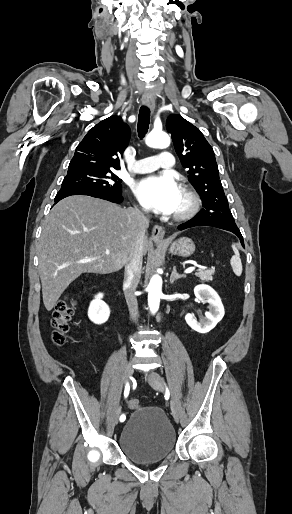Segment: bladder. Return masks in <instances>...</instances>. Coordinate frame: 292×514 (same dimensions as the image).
Segmentation results:
<instances>
[{
	"label": "bladder",
	"instance_id": "1",
	"mask_svg": "<svg viewBox=\"0 0 292 514\" xmlns=\"http://www.w3.org/2000/svg\"><path fill=\"white\" fill-rule=\"evenodd\" d=\"M175 431L159 407L134 409L123 424L118 444L122 453L135 463L165 459L176 446Z\"/></svg>",
	"mask_w": 292,
	"mask_h": 514
}]
</instances>
